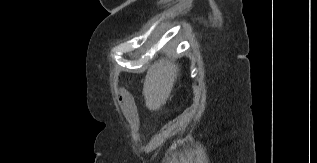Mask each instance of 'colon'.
Returning <instances> with one entry per match:
<instances>
[{"mask_svg":"<svg viewBox=\"0 0 317 163\" xmlns=\"http://www.w3.org/2000/svg\"><path fill=\"white\" fill-rule=\"evenodd\" d=\"M127 92L126 91H122L119 95V100L121 99L120 103L122 102V100L127 96Z\"/></svg>","mask_w":317,"mask_h":163,"instance_id":"5ec220e1","label":"colon"}]
</instances>
